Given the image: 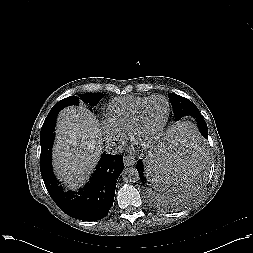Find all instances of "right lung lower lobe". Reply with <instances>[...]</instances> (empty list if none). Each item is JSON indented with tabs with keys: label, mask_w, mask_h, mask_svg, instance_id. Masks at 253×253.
Masks as SVG:
<instances>
[{
	"label": "right lung lower lobe",
	"mask_w": 253,
	"mask_h": 253,
	"mask_svg": "<svg viewBox=\"0 0 253 253\" xmlns=\"http://www.w3.org/2000/svg\"><path fill=\"white\" fill-rule=\"evenodd\" d=\"M58 113L49 112L45 119L48 125L55 127ZM123 169V156L104 153L83 189L64 192L53 174L51 155L40 158L41 175L53 201L67 215L83 221L100 220L108 214L113 205L117 179Z\"/></svg>",
	"instance_id": "obj_1"
}]
</instances>
